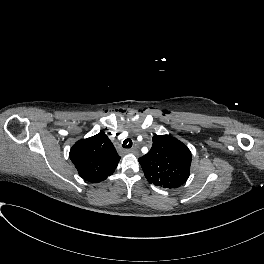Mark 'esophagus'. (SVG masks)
<instances>
[{"label":"esophagus","mask_w":264,"mask_h":264,"mask_svg":"<svg viewBox=\"0 0 264 264\" xmlns=\"http://www.w3.org/2000/svg\"><path fill=\"white\" fill-rule=\"evenodd\" d=\"M126 152L127 153H136L137 150L135 148H132V149H127Z\"/></svg>","instance_id":"esophagus-1"}]
</instances>
